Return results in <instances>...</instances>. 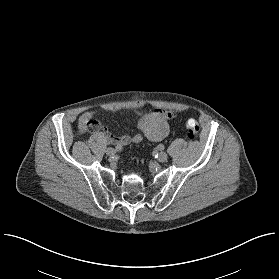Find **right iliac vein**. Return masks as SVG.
I'll list each match as a JSON object with an SVG mask.
<instances>
[{"instance_id":"63e3f726","label":"right iliac vein","mask_w":279,"mask_h":279,"mask_svg":"<svg viewBox=\"0 0 279 279\" xmlns=\"http://www.w3.org/2000/svg\"><path fill=\"white\" fill-rule=\"evenodd\" d=\"M105 152L108 156H113L115 154L114 148L111 147L107 148Z\"/></svg>"}]
</instances>
